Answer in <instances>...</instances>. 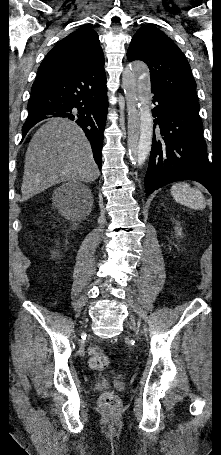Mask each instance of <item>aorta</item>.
I'll return each instance as SVG.
<instances>
[{
    "label": "aorta",
    "mask_w": 221,
    "mask_h": 455,
    "mask_svg": "<svg viewBox=\"0 0 221 455\" xmlns=\"http://www.w3.org/2000/svg\"><path fill=\"white\" fill-rule=\"evenodd\" d=\"M128 111V149L131 161L144 164L153 137V120L150 110V78L145 63L135 61L127 65L122 75Z\"/></svg>",
    "instance_id": "aorta-1"
}]
</instances>
